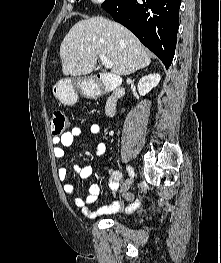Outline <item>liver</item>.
Returning a JSON list of instances; mask_svg holds the SVG:
<instances>
[{"instance_id": "obj_1", "label": "liver", "mask_w": 221, "mask_h": 263, "mask_svg": "<svg viewBox=\"0 0 221 263\" xmlns=\"http://www.w3.org/2000/svg\"><path fill=\"white\" fill-rule=\"evenodd\" d=\"M104 54L115 75H130L151 63L143 45L127 28L97 16L78 21L60 46L62 72L65 76L87 75Z\"/></svg>"}]
</instances>
